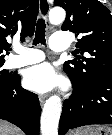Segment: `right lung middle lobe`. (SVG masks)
I'll list each match as a JSON object with an SVG mask.
<instances>
[{
  "instance_id": "right-lung-middle-lobe-1",
  "label": "right lung middle lobe",
  "mask_w": 112,
  "mask_h": 135,
  "mask_svg": "<svg viewBox=\"0 0 112 135\" xmlns=\"http://www.w3.org/2000/svg\"><path fill=\"white\" fill-rule=\"evenodd\" d=\"M4 62L5 61H0V88L5 87L15 77V74L9 73L8 70L3 69Z\"/></svg>"
}]
</instances>
